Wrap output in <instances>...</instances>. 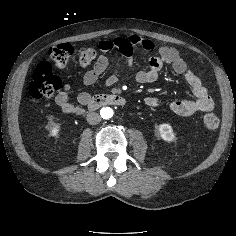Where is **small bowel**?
Wrapping results in <instances>:
<instances>
[{
	"mask_svg": "<svg viewBox=\"0 0 236 236\" xmlns=\"http://www.w3.org/2000/svg\"><path fill=\"white\" fill-rule=\"evenodd\" d=\"M100 54L96 59L92 69L88 70L83 76V84L90 86L97 82L99 77L107 70L109 59L107 53L112 50L119 51L128 60L129 66L133 65V51L135 47H141L147 52H157L156 56L150 58L148 69L136 72L135 79L138 83L147 84L155 82L164 64L172 67L174 72L182 74L185 81L191 87L194 100L178 99L170 104L171 110L180 116H193L202 112L212 111L214 101L209 96L207 89L202 84L200 78L188 69L186 61L171 47H159L153 40L144 39L137 35L128 37H116L113 40L99 42ZM118 76L110 75L104 82L105 87H110L117 83ZM89 98L88 93H80L77 97L78 104L71 101L70 85L65 84L62 90L56 95L55 102L64 114L80 115L83 113L82 105L86 104ZM145 104L150 107H157L160 99L154 96L145 98Z\"/></svg>",
	"mask_w": 236,
	"mask_h": 236,
	"instance_id": "c3829d8e",
	"label": "small bowel"
}]
</instances>
